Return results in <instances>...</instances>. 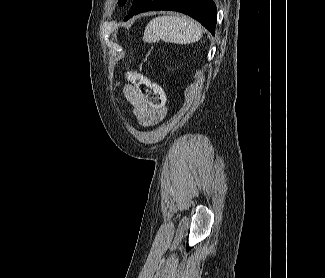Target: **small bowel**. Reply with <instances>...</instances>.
Returning a JSON list of instances; mask_svg holds the SVG:
<instances>
[{
    "label": "small bowel",
    "mask_w": 325,
    "mask_h": 278,
    "mask_svg": "<svg viewBox=\"0 0 325 278\" xmlns=\"http://www.w3.org/2000/svg\"><path fill=\"white\" fill-rule=\"evenodd\" d=\"M123 94L132 106L133 114L142 127H151L158 124L164 117L165 110L151 108L139 89L131 84L123 87Z\"/></svg>",
    "instance_id": "c3829d8e"
}]
</instances>
